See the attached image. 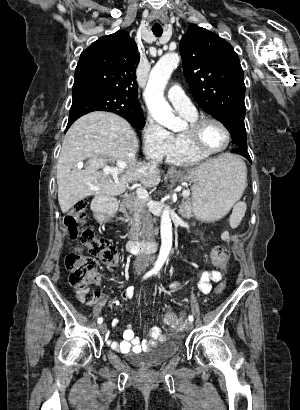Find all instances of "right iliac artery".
I'll use <instances>...</instances> for the list:
<instances>
[{
  "mask_svg": "<svg viewBox=\"0 0 300 410\" xmlns=\"http://www.w3.org/2000/svg\"><path fill=\"white\" fill-rule=\"evenodd\" d=\"M151 275H152V272H148L144 275L143 279H147ZM97 322H98V324H101L103 322V318L102 317L98 318Z\"/></svg>",
  "mask_w": 300,
  "mask_h": 410,
  "instance_id": "right-iliac-artery-1",
  "label": "right iliac artery"
}]
</instances>
